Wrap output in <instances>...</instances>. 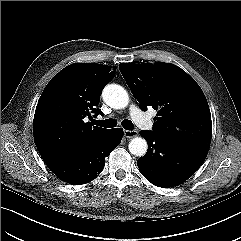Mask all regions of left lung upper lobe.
Wrapping results in <instances>:
<instances>
[{"instance_id": "obj_1", "label": "left lung upper lobe", "mask_w": 241, "mask_h": 241, "mask_svg": "<svg viewBox=\"0 0 241 241\" xmlns=\"http://www.w3.org/2000/svg\"><path fill=\"white\" fill-rule=\"evenodd\" d=\"M127 85L146 110H157L153 132L169 141L209 150L212 121L206 97L183 69L164 62L121 63Z\"/></svg>"}]
</instances>
